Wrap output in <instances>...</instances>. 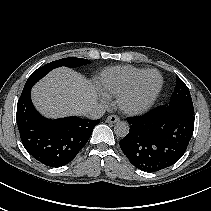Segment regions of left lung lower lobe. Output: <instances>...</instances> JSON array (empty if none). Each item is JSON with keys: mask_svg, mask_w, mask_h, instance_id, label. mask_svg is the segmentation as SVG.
Segmentation results:
<instances>
[{"mask_svg": "<svg viewBox=\"0 0 211 211\" xmlns=\"http://www.w3.org/2000/svg\"><path fill=\"white\" fill-rule=\"evenodd\" d=\"M127 121L130 130L120 147L136 168L147 172L176 163L185 153L194 130L193 113L161 106Z\"/></svg>", "mask_w": 211, "mask_h": 211, "instance_id": "obj_1", "label": "left lung lower lobe"}]
</instances>
